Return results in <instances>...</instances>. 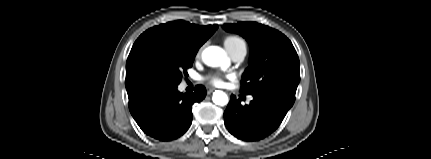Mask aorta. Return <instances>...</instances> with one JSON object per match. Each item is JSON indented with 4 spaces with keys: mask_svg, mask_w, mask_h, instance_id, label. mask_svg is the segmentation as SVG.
Listing matches in <instances>:
<instances>
[{
    "mask_svg": "<svg viewBox=\"0 0 431 159\" xmlns=\"http://www.w3.org/2000/svg\"><path fill=\"white\" fill-rule=\"evenodd\" d=\"M202 59L208 66L216 67L227 61L225 51L218 46H210L202 53ZM216 105L224 106L228 103V96L223 91L216 90L212 97Z\"/></svg>",
    "mask_w": 431,
    "mask_h": 159,
    "instance_id": "762f6f07",
    "label": "aorta"
}]
</instances>
